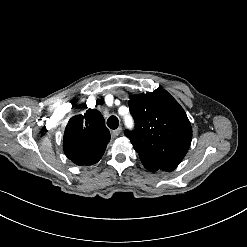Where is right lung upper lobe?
I'll return each instance as SVG.
<instances>
[{
	"label": "right lung upper lobe",
	"instance_id": "1",
	"mask_svg": "<svg viewBox=\"0 0 247 247\" xmlns=\"http://www.w3.org/2000/svg\"><path fill=\"white\" fill-rule=\"evenodd\" d=\"M110 141L105 120L96 109L72 117L65 129L63 149L65 155L78 166L97 163Z\"/></svg>",
	"mask_w": 247,
	"mask_h": 247
}]
</instances>
